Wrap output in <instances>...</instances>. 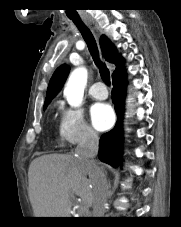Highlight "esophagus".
<instances>
[{
  "instance_id": "obj_1",
  "label": "esophagus",
  "mask_w": 181,
  "mask_h": 227,
  "mask_svg": "<svg viewBox=\"0 0 181 227\" xmlns=\"http://www.w3.org/2000/svg\"><path fill=\"white\" fill-rule=\"evenodd\" d=\"M87 25H89L91 27V24L89 22H86Z\"/></svg>"
}]
</instances>
